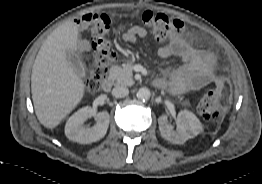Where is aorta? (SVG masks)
<instances>
[{"mask_svg":"<svg viewBox=\"0 0 262 184\" xmlns=\"http://www.w3.org/2000/svg\"><path fill=\"white\" fill-rule=\"evenodd\" d=\"M151 92L148 88H140L137 92V98L139 100H149Z\"/></svg>","mask_w":262,"mask_h":184,"instance_id":"1","label":"aorta"}]
</instances>
